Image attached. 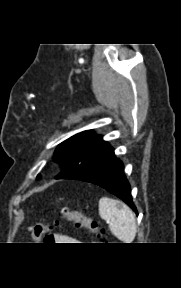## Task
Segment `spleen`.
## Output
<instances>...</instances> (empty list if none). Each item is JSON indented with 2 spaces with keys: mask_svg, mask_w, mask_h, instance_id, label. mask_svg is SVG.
I'll return each instance as SVG.
<instances>
[{
  "mask_svg": "<svg viewBox=\"0 0 181 288\" xmlns=\"http://www.w3.org/2000/svg\"><path fill=\"white\" fill-rule=\"evenodd\" d=\"M99 214L109 223V229L123 243H132L136 236V221L131 209L123 202L102 197Z\"/></svg>",
  "mask_w": 181,
  "mask_h": 288,
  "instance_id": "obj_1",
  "label": "spleen"
}]
</instances>
